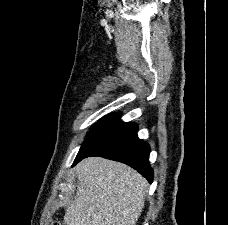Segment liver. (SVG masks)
<instances>
[{
	"instance_id": "obj_1",
	"label": "liver",
	"mask_w": 228,
	"mask_h": 225,
	"mask_svg": "<svg viewBox=\"0 0 228 225\" xmlns=\"http://www.w3.org/2000/svg\"><path fill=\"white\" fill-rule=\"evenodd\" d=\"M77 193L65 225H136L148 183L137 171L108 159L88 157L75 167Z\"/></svg>"
}]
</instances>
